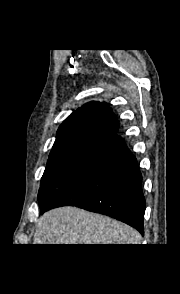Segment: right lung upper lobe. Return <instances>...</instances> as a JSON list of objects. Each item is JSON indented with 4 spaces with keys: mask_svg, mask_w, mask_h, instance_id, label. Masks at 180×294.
I'll list each match as a JSON object with an SVG mask.
<instances>
[{
    "mask_svg": "<svg viewBox=\"0 0 180 294\" xmlns=\"http://www.w3.org/2000/svg\"><path fill=\"white\" fill-rule=\"evenodd\" d=\"M118 131L117 118L105 102H89L60 125L53 147L80 141L102 143Z\"/></svg>",
    "mask_w": 180,
    "mask_h": 294,
    "instance_id": "cb5924a9",
    "label": "right lung upper lobe"
}]
</instances>
